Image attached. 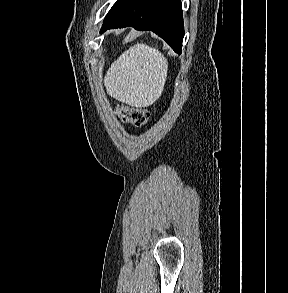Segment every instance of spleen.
Wrapping results in <instances>:
<instances>
[{"instance_id":"3e777b00","label":"spleen","mask_w":288,"mask_h":293,"mask_svg":"<svg viewBox=\"0 0 288 293\" xmlns=\"http://www.w3.org/2000/svg\"><path fill=\"white\" fill-rule=\"evenodd\" d=\"M168 62L156 48L137 43L112 63L104 78L107 93L135 107H147L162 94Z\"/></svg>"}]
</instances>
